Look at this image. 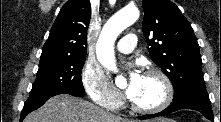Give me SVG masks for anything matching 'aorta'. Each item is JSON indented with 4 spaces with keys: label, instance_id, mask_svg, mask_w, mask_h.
Wrapping results in <instances>:
<instances>
[{
    "label": "aorta",
    "instance_id": "obj_1",
    "mask_svg": "<svg viewBox=\"0 0 221 122\" xmlns=\"http://www.w3.org/2000/svg\"><path fill=\"white\" fill-rule=\"evenodd\" d=\"M139 18V10L135 6H127L114 14L104 25L97 41L96 52L99 62L108 70L117 72L114 55V43L118 35ZM125 79L117 76L116 84Z\"/></svg>",
    "mask_w": 221,
    "mask_h": 122
}]
</instances>
